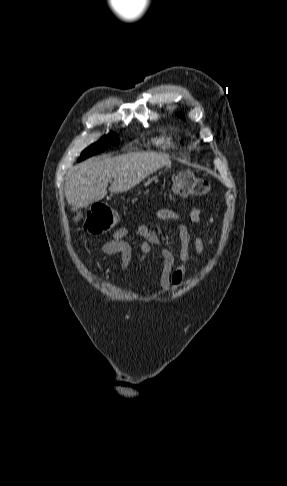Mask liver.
Here are the masks:
<instances>
[{
	"mask_svg": "<svg viewBox=\"0 0 287 486\" xmlns=\"http://www.w3.org/2000/svg\"><path fill=\"white\" fill-rule=\"evenodd\" d=\"M171 164L169 157L152 152H133L118 157H97L74 167L66 177L68 204L83 208L107 195L130 190L150 174Z\"/></svg>",
	"mask_w": 287,
	"mask_h": 486,
	"instance_id": "1",
	"label": "liver"
}]
</instances>
